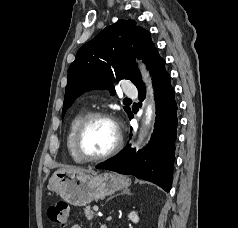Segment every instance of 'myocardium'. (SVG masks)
I'll return each instance as SVG.
<instances>
[{
	"mask_svg": "<svg viewBox=\"0 0 238 228\" xmlns=\"http://www.w3.org/2000/svg\"><path fill=\"white\" fill-rule=\"evenodd\" d=\"M95 119H107L113 122L116 128L117 140L115 145L106 153H103L98 156H89L83 152L81 147V142L87 127ZM122 144H123V138H122V134L119 129V126L117 125L112 115L105 111H93L86 114L84 118L81 120L80 124L78 125L76 133H75V138H74L75 152L79 156V158L82 159L84 162H97V161L108 159L112 157L113 155H115L121 149Z\"/></svg>",
	"mask_w": 238,
	"mask_h": 228,
	"instance_id": "obj_1",
	"label": "myocardium"
}]
</instances>
